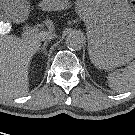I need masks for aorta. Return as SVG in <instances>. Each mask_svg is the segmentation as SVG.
Returning <instances> with one entry per match:
<instances>
[{
    "label": "aorta",
    "instance_id": "obj_1",
    "mask_svg": "<svg viewBox=\"0 0 135 135\" xmlns=\"http://www.w3.org/2000/svg\"><path fill=\"white\" fill-rule=\"evenodd\" d=\"M85 38L80 31H72L65 38V44L69 49L80 50L84 44Z\"/></svg>",
    "mask_w": 135,
    "mask_h": 135
}]
</instances>
